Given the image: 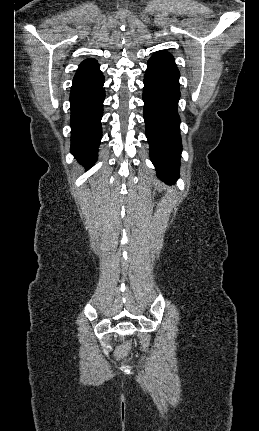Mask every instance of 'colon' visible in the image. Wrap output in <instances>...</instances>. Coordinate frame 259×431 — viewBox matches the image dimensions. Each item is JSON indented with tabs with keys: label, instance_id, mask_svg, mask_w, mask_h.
<instances>
[{
	"label": "colon",
	"instance_id": "5ec220e1",
	"mask_svg": "<svg viewBox=\"0 0 259 431\" xmlns=\"http://www.w3.org/2000/svg\"><path fill=\"white\" fill-rule=\"evenodd\" d=\"M129 349H130V344L129 343H124L123 345H121L117 349V356L124 357L128 353Z\"/></svg>",
	"mask_w": 259,
	"mask_h": 431
}]
</instances>
